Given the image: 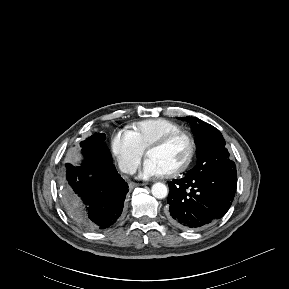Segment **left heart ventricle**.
Wrapping results in <instances>:
<instances>
[{
  "label": "left heart ventricle",
  "instance_id": "1",
  "mask_svg": "<svg viewBox=\"0 0 289 289\" xmlns=\"http://www.w3.org/2000/svg\"><path fill=\"white\" fill-rule=\"evenodd\" d=\"M188 150V141L181 137L162 148L150 151L147 157L153 159L167 173L185 160Z\"/></svg>",
  "mask_w": 289,
  "mask_h": 289
}]
</instances>
